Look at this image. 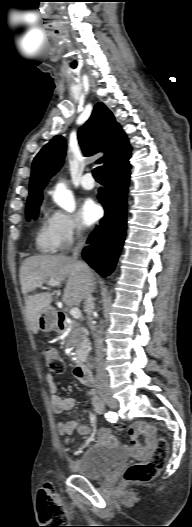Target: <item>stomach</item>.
Listing matches in <instances>:
<instances>
[{
    "label": "stomach",
    "mask_w": 192,
    "mask_h": 527,
    "mask_svg": "<svg viewBox=\"0 0 192 527\" xmlns=\"http://www.w3.org/2000/svg\"><path fill=\"white\" fill-rule=\"evenodd\" d=\"M58 328L57 312L54 308L48 307L39 317V329L43 332L55 331Z\"/></svg>",
    "instance_id": "1"
}]
</instances>
